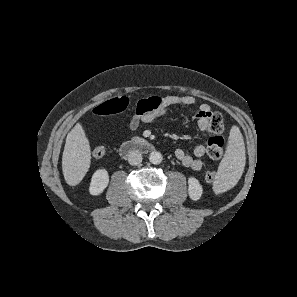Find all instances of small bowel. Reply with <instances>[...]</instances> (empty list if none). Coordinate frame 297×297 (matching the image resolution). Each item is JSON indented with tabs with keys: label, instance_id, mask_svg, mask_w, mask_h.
Listing matches in <instances>:
<instances>
[{
	"label": "small bowel",
	"instance_id": "c3829d8e",
	"mask_svg": "<svg viewBox=\"0 0 297 297\" xmlns=\"http://www.w3.org/2000/svg\"><path fill=\"white\" fill-rule=\"evenodd\" d=\"M151 102L150 108L141 115H135L130 127L136 129L141 122L151 123L165 115L174 106H195L197 101L193 96H165L148 98ZM94 111V110H93ZM212 113L208 104H200L193 120L197 123L201 131H206L209 127V116ZM205 155V147L198 145L194 148L193 154H188L183 149H176L175 156L181 164L194 171H199L203 167L201 158Z\"/></svg>",
	"mask_w": 297,
	"mask_h": 297
}]
</instances>
